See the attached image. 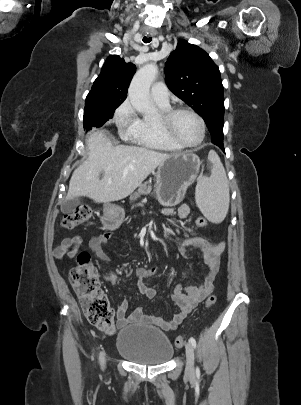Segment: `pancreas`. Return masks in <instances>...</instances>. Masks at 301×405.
I'll return each mask as SVG.
<instances>
[{
  "label": "pancreas",
  "instance_id": "obj_1",
  "mask_svg": "<svg viewBox=\"0 0 301 405\" xmlns=\"http://www.w3.org/2000/svg\"><path fill=\"white\" fill-rule=\"evenodd\" d=\"M152 193V187L150 185V182H146L144 184H141L138 188V190L131 196V200H135L139 198L141 195H148Z\"/></svg>",
  "mask_w": 301,
  "mask_h": 405
}]
</instances>
